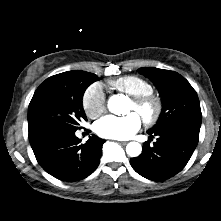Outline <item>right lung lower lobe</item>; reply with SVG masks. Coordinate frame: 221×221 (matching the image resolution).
Masks as SVG:
<instances>
[{
    "instance_id": "98d812e1",
    "label": "right lung lower lobe",
    "mask_w": 221,
    "mask_h": 221,
    "mask_svg": "<svg viewBox=\"0 0 221 221\" xmlns=\"http://www.w3.org/2000/svg\"><path fill=\"white\" fill-rule=\"evenodd\" d=\"M104 142L92 135L82 145L74 130H54L30 140L40 166L66 182L84 179L94 172L99 165Z\"/></svg>"
}]
</instances>
